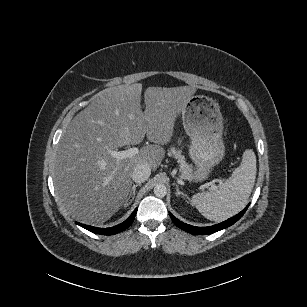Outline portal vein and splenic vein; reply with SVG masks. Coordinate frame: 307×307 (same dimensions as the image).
<instances>
[{
	"mask_svg": "<svg viewBox=\"0 0 307 307\" xmlns=\"http://www.w3.org/2000/svg\"><path fill=\"white\" fill-rule=\"evenodd\" d=\"M139 148L138 147H132L128 150L125 151H114L112 154L113 156L116 158V164H119V162L124 159V158H129V157H133L137 154H139ZM112 177H108L106 178V181L109 182L111 180ZM209 186H211L212 190H216L217 188V184L215 182H207L204 185H201L199 187V190H204L205 188H208Z\"/></svg>",
	"mask_w": 307,
	"mask_h": 307,
	"instance_id": "obj_1",
	"label": "portal vein and splenic vein"
}]
</instances>
